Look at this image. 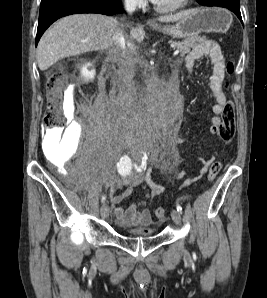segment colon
I'll use <instances>...</instances> for the list:
<instances>
[{
	"label": "colon",
	"instance_id": "1",
	"mask_svg": "<svg viewBox=\"0 0 267 298\" xmlns=\"http://www.w3.org/2000/svg\"><path fill=\"white\" fill-rule=\"evenodd\" d=\"M234 70V64L229 62L226 66V71L231 74ZM65 86V77L61 72H55L50 75L47 81L49 101L47 111L44 117V125L46 129H54L65 124L62 115V91ZM235 129V112L231 103L227 105L221 116V138L227 143L232 139ZM221 163L215 161L212 163L207 180L213 181L221 170ZM155 216L161 221L168 219V213L164 208H157Z\"/></svg>",
	"mask_w": 267,
	"mask_h": 298
}]
</instances>
